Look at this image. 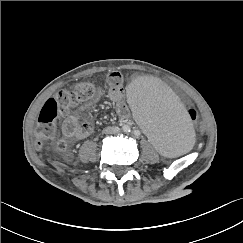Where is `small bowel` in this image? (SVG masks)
<instances>
[{"mask_svg": "<svg viewBox=\"0 0 243 243\" xmlns=\"http://www.w3.org/2000/svg\"><path fill=\"white\" fill-rule=\"evenodd\" d=\"M109 89L107 95L115 104L116 110L120 118L125 121L129 118L130 111L125 103V96L122 89V76L117 71H111L107 76ZM98 95L103 96L106 93L105 88L100 87L97 90ZM93 131V123L91 119L82 120L81 111L68 115L63 122V136L73 142L88 137Z\"/></svg>", "mask_w": 243, "mask_h": 243, "instance_id": "c3829d8e", "label": "small bowel"}]
</instances>
